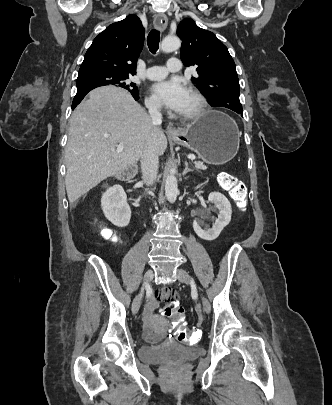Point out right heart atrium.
Returning <instances> with one entry per match:
<instances>
[{
  "mask_svg": "<svg viewBox=\"0 0 332 405\" xmlns=\"http://www.w3.org/2000/svg\"><path fill=\"white\" fill-rule=\"evenodd\" d=\"M145 103L147 108L151 111H158L161 108L160 103L153 97H147Z\"/></svg>",
  "mask_w": 332,
  "mask_h": 405,
  "instance_id": "obj_1",
  "label": "right heart atrium"
}]
</instances>
